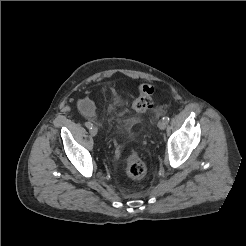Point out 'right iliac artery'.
Returning a JSON list of instances; mask_svg holds the SVG:
<instances>
[{
    "label": "right iliac artery",
    "instance_id": "82829eb1",
    "mask_svg": "<svg viewBox=\"0 0 246 246\" xmlns=\"http://www.w3.org/2000/svg\"><path fill=\"white\" fill-rule=\"evenodd\" d=\"M85 126H86L88 129H92L93 124L90 123V122H86V123H85Z\"/></svg>",
    "mask_w": 246,
    "mask_h": 246
}]
</instances>
